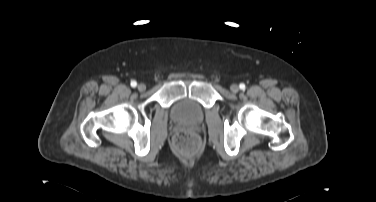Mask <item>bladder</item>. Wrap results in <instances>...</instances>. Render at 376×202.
<instances>
[{"label":"bladder","mask_w":376,"mask_h":202,"mask_svg":"<svg viewBox=\"0 0 376 202\" xmlns=\"http://www.w3.org/2000/svg\"><path fill=\"white\" fill-rule=\"evenodd\" d=\"M204 115L202 106L189 97L176 100L171 108L172 118L187 124H198L202 122Z\"/></svg>","instance_id":"bladder-1"}]
</instances>
